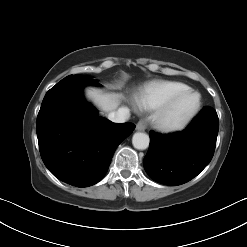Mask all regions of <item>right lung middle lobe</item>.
Masks as SVG:
<instances>
[{
  "label": "right lung middle lobe",
  "instance_id": "1",
  "mask_svg": "<svg viewBox=\"0 0 247 247\" xmlns=\"http://www.w3.org/2000/svg\"><path fill=\"white\" fill-rule=\"evenodd\" d=\"M90 77H82V76H73V75H69L67 77H65L63 80H61L60 82H65V81H71V80H74V79H89Z\"/></svg>",
  "mask_w": 247,
  "mask_h": 247
}]
</instances>
